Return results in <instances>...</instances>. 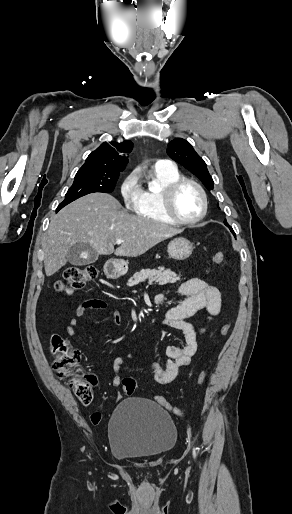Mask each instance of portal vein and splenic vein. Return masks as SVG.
I'll use <instances>...</instances> for the list:
<instances>
[{
	"label": "portal vein and splenic vein",
	"instance_id": "18ae733b",
	"mask_svg": "<svg viewBox=\"0 0 292 514\" xmlns=\"http://www.w3.org/2000/svg\"><path fill=\"white\" fill-rule=\"evenodd\" d=\"M122 242H124V240H117L116 244H122Z\"/></svg>",
	"mask_w": 292,
	"mask_h": 514
}]
</instances>
